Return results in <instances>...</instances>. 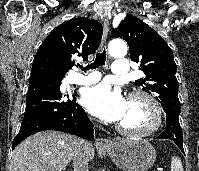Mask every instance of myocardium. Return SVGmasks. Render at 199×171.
I'll return each mask as SVG.
<instances>
[{"instance_id": "myocardium-1", "label": "myocardium", "mask_w": 199, "mask_h": 171, "mask_svg": "<svg viewBox=\"0 0 199 171\" xmlns=\"http://www.w3.org/2000/svg\"><path fill=\"white\" fill-rule=\"evenodd\" d=\"M133 99H140L144 101L151 113V122L148 126L140 129H130L121 124H116V130L126 136L130 137H146L154 134L162 124V109L157 99L150 93L142 90H135L129 93L128 101Z\"/></svg>"}]
</instances>
